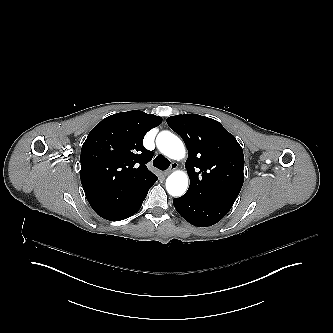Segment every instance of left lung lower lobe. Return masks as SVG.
<instances>
[{
    "label": "left lung lower lobe",
    "mask_w": 333,
    "mask_h": 333,
    "mask_svg": "<svg viewBox=\"0 0 333 333\" xmlns=\"http://www.w3.org/2000/svg\"><path fill=\"white\" fill-rule=\"evenodd\" d=\"M177 212L189 223L198 227L211 226L220 221L231 205L196 199L187 195L173 199Z\"/></svg>",
    "instance_id": "1"
}]
</instances>
